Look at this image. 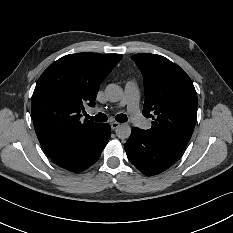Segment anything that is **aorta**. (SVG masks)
<instances>
[{
    "label": "aorta",
    "mask_w": 233,
    "mask_h": 233,
    "mask_svg": "<svg viewBox=\"0 0 233 233\" xmlns=\"http://www.w3.org/2000/svg\"><path fill=\"white\" fill-rule=\"evenodd\" d=\"M105 94L110 102H119L123 96V89L116 84H109L105 89ZM120 138H128L131 135V126L128 123H121L116 130Z\"/></svg>",
    "instance_id": "aorta-1"
}]
</instances>
